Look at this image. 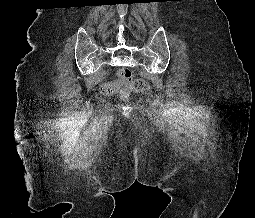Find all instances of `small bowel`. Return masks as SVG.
Returning a JSON list of instances; mask_svg holds the SVG:
<instances>
[{"label": "small bowel", "mask_w": 255, "mask_h": 218, "mask_svg": "<svg viewBox=\"0 0 255 218\" xmlns=\"http://www.w3.org/2000/svg\"><path fill=\"white\" fill-rule=\"evenodd\" d=\"M110 85H117V82H113V83H110V84H106L104 87L110 86Z\"/></svg>", "instance_id": "1"}]
</instances>
